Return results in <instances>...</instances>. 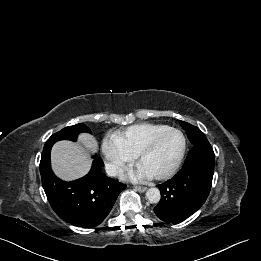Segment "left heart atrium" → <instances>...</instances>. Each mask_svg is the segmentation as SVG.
<instances>
[{
	"label": "left heart atrium",
	"mask_w": 261,
	"mask_h": 261,
	"mask_svg": "<svg viewBox=\"0 0 261 261\" xmlns=\"http://www.w3.org/2000/svg\"><path fill=\"white\" fill-rule=\"evenodd\" d=\"M152 177H153V175L140 164L137 166V168L135 170H133L129 174V178L131 180L138 181V182L149 180Z\"/></svg>",
	"instance_id": "39dd6f15"
}]
</instances>
